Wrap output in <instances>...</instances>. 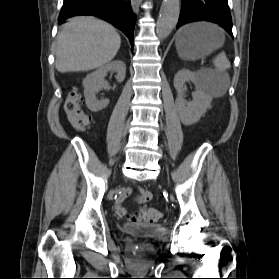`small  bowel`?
<instances>
[{"instance_id":"obj_1","label":"small bowel","mask_w":279,"mask_h":279,"mask_svg":"<svg viewBox=\"0 0 279 279\" xmlns=\"http://www.w3.org/2000/svg\"><path fill=\"white\" fill-rule=\"evenodd\" d=\"M131 190H126L122 193L115 202V212L118 216H123L126 213L125 208L122 206V202L131 194ZM150 198V193L146 190L139 189L137 195L135 196V200L139 203L146 202Z\"/></svg>"}]
</instances>
